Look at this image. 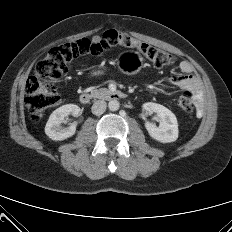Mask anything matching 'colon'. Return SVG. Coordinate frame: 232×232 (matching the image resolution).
Instances as JSON below:
<instances>
[{"instance_id":"5ec220e1","label":"colon","mask_w":232,"mask_h":232,"mask_svg":"<svg viewBox=\"0 0 232 232\" xmlns=\"http://www.w3.org/2000/svg\"><path fill=\"white\" fill-rule=\"evenodd\" d=\"M115 47L135 48L156 67L168 66L174 61L172 53L116 30H108L93 39H81L60 44L52 48L38 62L33 74L26 82L24 102L31 120L39 121L47 109L58 103L56 82L71 70L78 58L100 56ZM177 104L182 111L191 113L193 111L191 93L181 94Z\"/></svg>"}]
</instances>
